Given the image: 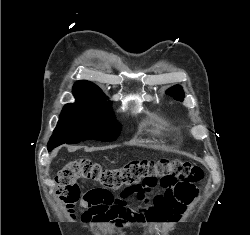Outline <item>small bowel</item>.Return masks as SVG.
<instances>
[{"mask_svg": "<svg viewBox=\"0 0 250 235\" xmlns=\"http://www.w3.org/2000/svg\"><path fill=\"white\" fill-rule=\"evenodd\" d=\"M151 191H139L137 197L140 201L147 204V222H169L180 218L187 210L188 203L180 201L173 188H165L164 191L157 193L151 200L148 195Z\"/></svg>", "mask_w": 250, "mask_h": 235, "instance_id": "obj_1", "label": "small bowel"}]
</instances>
